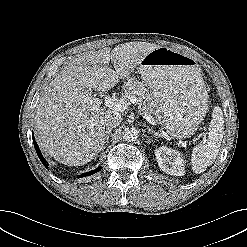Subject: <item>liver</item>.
<instances>
[{"label":"liver","instance_id":"1","mask_svg":"<svg viewBox=\"0 0 247 247\" xmlns=\"http://www.w3.org/2000/svg\"><path fill=\"white\" fill-rule=\"evenodd\" d=\"M158 45L130 42L85 52L73 58L43 93L34 128L41 148L70 166L90 162L103 149L105 116L114 109L95 107L92 89L107 91L129 78L136 66ZM110 61L114 69L108 67Z\"/></svg>","mask_w":247,"mask_h":247}]
</instances>
